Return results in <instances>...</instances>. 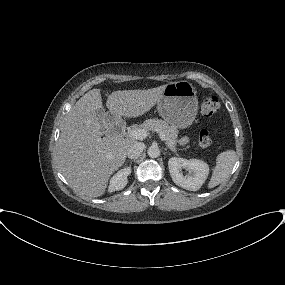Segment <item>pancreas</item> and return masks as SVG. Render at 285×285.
I'll return each mask as SVG.
<instances>
[{
	"instance_id": "1",
	"label": "pancreas",
	"mask_w": 285,
	"mask_h": 285,
	"mask_svg": "<svg viewBox=\"0 0 285 285\" xmlns=\"http://www.w3.org/2000/svg\"><path fill=\"white\" fill-rule=\"evenodd\" d=\"M140 128L146 129L148 132H158L165 136V143L172 151H177L178 130L174 126H170L167 122L159 119H148Z\"/></svg>"
}]
</instances>
